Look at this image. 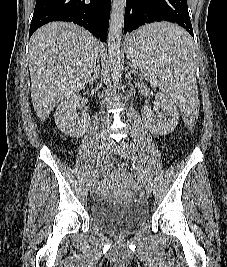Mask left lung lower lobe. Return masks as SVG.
I'll list each match as a JSON object with an SVG mask.
<instances>
[{
    "label": "left lung lower lobe",
    "mask_w": 227,
    "mask_h": 267,
    "mask_svg": "<svg viewBox=\"0 0 227 267\" xmlns=\"http://www.w3.org/2000/svg\"><path fill=\"white\" fill-rule=\"evenodd\" d=\"M124 33L153 22H172L185 28L193 36L187 0H126ZM138 45L143 41L136 40ZM160 45L175 47L181 45L178 40H161Z\"/></svg>",
    "instance_id": "obj_1"
}]
</instances>
